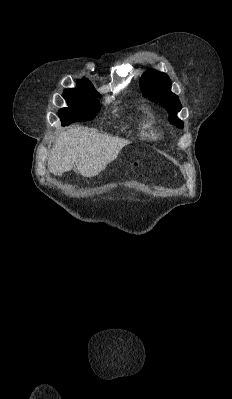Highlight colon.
I'll return each instance as SVG.
<instances>
[{
  "instance_id": "5ec220e1",
  "label": "colon",
  "mask_w": 232,
  "mask_h": 399,
  "mask_svg": "<svg viewBox=\"0 0 232 399\" xmlns=\"http://www.w3.org/2000/svg\"><path fill=\"white\" fill-rule=\"evenodd\" d=\"M130 165H136V160H130Z\"/></svg>"
}]
</instances>
